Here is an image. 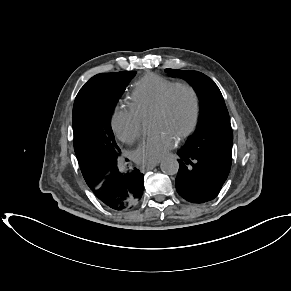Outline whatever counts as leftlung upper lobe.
<instances>
[{
	"mask_svg": "<svg viewBox=\"0 0 291 291\" xmlns=\"http://www.w3.org/2000/svg\"><path fill=\"white\" fill-rule=\"evenodd\" d=\"M165 71L172 77L177 76L189 82L200 101L197 129L187 139L182 149L231 163L233 133L229 113L217 85L198 71L176 69Z\"/></svg>",
	"mask_w": 291,
	"mask_h": 291,
	"instance_id": "5c2ea615",
	"label": "left lung upper lobe"
}]
</instances>
